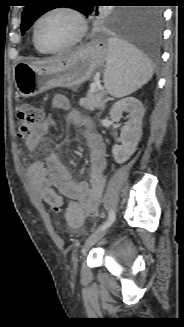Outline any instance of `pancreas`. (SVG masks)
I'll use <instances>...</instances> for the list:
<instances>
[{
  "instance_id": "1",
  "label": "pancreas",
  "mask_w": 184,
  "mask_h": 327,
  "mask_svg": "<svg viewBox=\"0 0 184 327\" xmlns=\"http://www.w3.org/2000/svg\"><path fill=\"white\" fill-rule=\"evenodd\" d=\"M105 97L104 91L96 89L95 91L89 90L87 96L79 100V105L86 110L94 111L103 107V99Z\"/></svg>"
}]
</instances>
